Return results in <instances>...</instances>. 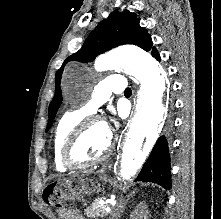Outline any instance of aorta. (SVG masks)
Wrapping results in <instances>:
<instances>
[{"label":"aorta","mask_w":221,"mask_h":219,"mask_svg":"<svg viewBox=\"0 0 221 219\" xmlns=\"http://www.w3.org/2000/svg\"><path fill=\"white\" fill-rule=\"evenodd\" d=\"M95 69H123L133 74L141 83L136 111L117 165L119 177L127 181L142 167L158 137V128L165 121L166 74L155 58L134 46L120 47L99 56L95 61ZM78 74L76 67L66 68L63 75L64 86L68 87ZM144 138L146 141L143 145Z\"/></svg>","instance_id":"762f6f07"}]
</instances>
